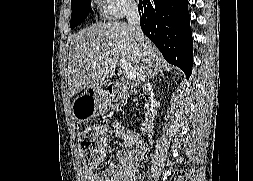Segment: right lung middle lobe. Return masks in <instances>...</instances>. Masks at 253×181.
<instances>
[{
    "label": "right lung middle lobe",
    "instance_id": "right-lung-middle-lobe-1",
    "mask_svg": "<svg viewBox=\"0 0 253 181\" xmlns=\"http://www.w3.org/2000/svg\"><path fill=\"white\" fill-rule=\"evenodd\" d=\"M71 9L70 27L72 29L83 21L89 15V12H92L90 0H71Z\"/></svg>",
    "mask_w": 253,
    "mask_h": 181
}]
</instances>
